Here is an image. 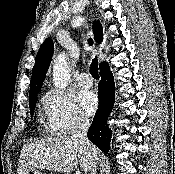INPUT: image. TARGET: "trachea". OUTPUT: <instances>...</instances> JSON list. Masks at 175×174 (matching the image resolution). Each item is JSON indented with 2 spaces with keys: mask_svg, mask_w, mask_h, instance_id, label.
Segmentation results:
<instances>
[{
  "mask_svg": "<svg viewBox=\"0 0 175 174\" xmlns=\"http://www.w3.org/2000/svg\"><path fill=\"white\" fill-rule=\"evenodd\" d=\"M89 45H93V40L90 38L89 39ZM90 74L92 75L93 78L99 79V73H98V60L97 57L92 59L91 67H90Z\"/></svg>",
  "mask_w": 175,
  "mask_h": 174,
  "instance_id": "1",
  "label": "trachea"
}]
</instances>
